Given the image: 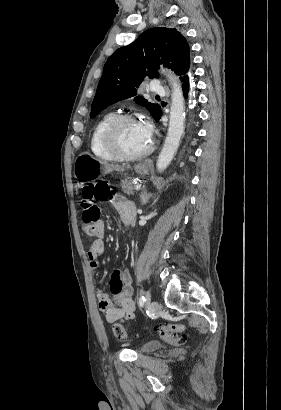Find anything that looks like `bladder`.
Returning <instances> with one entry per match:
<instances>
[{"label":"bladder","mask_w":281,"mask_h":410,"mask_svg":"<svg viewBox=\"0 0 281 410\" xmlns=\"http://www.w3.org/2000/svg\"><path fill=\"white\" fill-rule=\"evenodd\" d=\"M162 347H163V343L159 341H148L141 346L140 350L143 353H148V352L157 351L161 349Z\"/></svg>","instance_id":"1"}]
</instances>
